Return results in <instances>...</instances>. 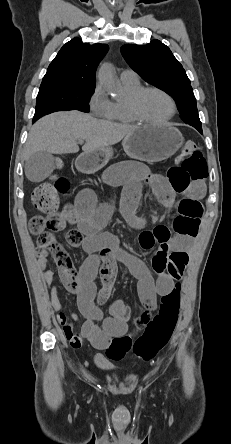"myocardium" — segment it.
Listing matches in <instances>:
<instances>
[{
    "label": "myocardium",
    "instance_id": "1",
    "mask_svg": "<svg viewBox=\"0 0 231 444\" xmlns=\"http://www.w3.org/2000/svg\"><path fill=\"white\" fill-rule=\"evenodd\" d=\"M151 91L158 92V93L164 95L169 100V102L171 104V113L169 116H167L161 120H151L142 114V112L140 110V101H141L142 97L147 92H151ZM128 110H129L131 116L136 120V122L152 124V125H159V124H163V123L170 121L175 116L176 111H177V105H176L174 98L165 90H163L159 87H155V86H148V87H141L140 89H138L135 93H133L130 96V98L128 100Z\"/></svg>",
    "mask_w": 231,
    "mask_h": 444
}]
</instances>
